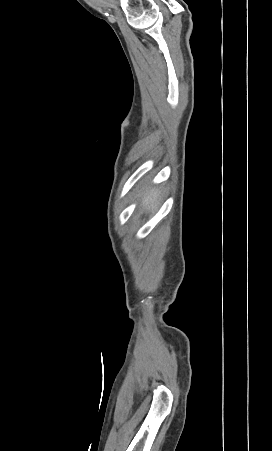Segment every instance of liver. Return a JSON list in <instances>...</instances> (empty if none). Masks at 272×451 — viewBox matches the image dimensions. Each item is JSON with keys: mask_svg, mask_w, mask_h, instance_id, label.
<instances>
[{"mask_svg": "<svg viewBox=\"0 0 272 451\" xmlns=\"http://www.w3.org/2000/svg\"><path fill=\"white\" fill-rule=\"evenodd\" d=\"M159 204V192L158 190H150L149 194L143 198L141 202V206H143L144 210H150V212H154Z\"/></svg>", "mask_w": 272, "mask_h": 451, "instance_id": "liver-1", "label": "liver"}]
</instances>
